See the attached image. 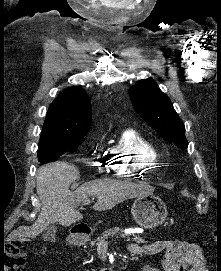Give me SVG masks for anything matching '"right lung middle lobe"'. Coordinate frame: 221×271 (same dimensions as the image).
<instances>
[{
	"label": "right lung middle lobe",
	"mask_w": 221,
	"mask_h": 271,
	"mask_svg": "<svg viewBox=\"0 0 221 271\" xmlns=\"http://www.w3.org/2000/svg\"><path fill=\"white\" fill-rule=\"evenodd\" d=\"M84 136L58 137L42 136L38 145V161L40 165L53 162L65 152H73L82 143Z\"/></svg>",
	"instance_id": "obj_1"
}]
</instances>
